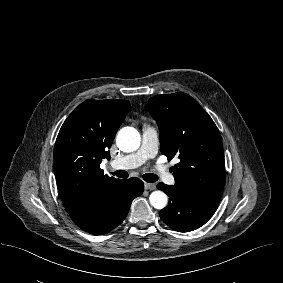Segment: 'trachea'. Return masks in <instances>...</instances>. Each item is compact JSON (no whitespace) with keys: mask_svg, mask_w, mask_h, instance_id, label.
Returning a JSON list of instances; mask_svg holds the SVG:
<instances>
[{"mask_svg":"<svg viewBox=\"0 0 283 283\" xmlns=\"http://www.w3.org/2000/svg\"><path fill=\"white\" fill-rule=\"evenodd\" d=\"M113 175H116L119 178H128V173L124 170H117L116 172L112 173ZM143 179L148 183H153L158 180V176L151 173H146L143 175Z\"/></svg>","mask_w":283,"mask_h":283,"instance_id":"trachea-1","label":"trachea"}]
</instances>
